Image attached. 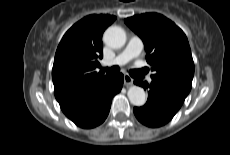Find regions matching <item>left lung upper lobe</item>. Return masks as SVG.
Here are the masks:
<instances>
[{
  "instance_id": "left-lung-upper-lobe-1",
  "label": "left lung upper lobe",
  "mask_w": 230,
  "mask_h": 155,
  "mask_svg": "<svg viewBox=\"0 0 230 155\" xmlns=\"http://www.w3.org/2000/svg\"><path fill=\"white\" fill-rule=\"evenodd\" d=\"M142 39L146 60L154 74L152 81L185 97L192 87L194 62L188 39L171 20L158 13H145L125 19Z\"/></svg>"
}]
</instances>
